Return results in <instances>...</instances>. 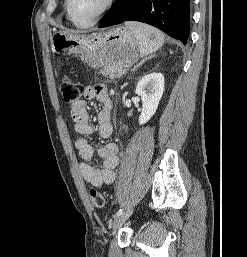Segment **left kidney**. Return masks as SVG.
<instances>
[{
  "instance_id": "1",
  "label": "left kidney",
  "mask_w": 247,
  "mask_h": 257,
  "mask_svg": "<svg viewBox=\"0 0 247 257\" xmlns=\"http://www.w3.org/2000/svg\"><path fill=\"white\" fill-rule=\"evenodd\" d=\"M164 92V76L161 73L145 75L137 84L135 93L141 97L142 112L139 124H145L155 114Z\"/></svg>"
}]
</instances>
